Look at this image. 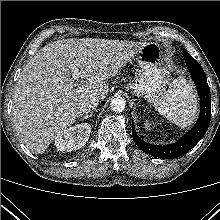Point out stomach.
I'll return each mask as SVG.
<instances>
[{
    "mask_svg": "<svg viewBox=\"0 0 220 220\" xmlns=\"http://www.w3.org/2000/svg\"><path fill=\"white\" fill-rule=\"evenodd\" d=\"M164 48L160 43L151 42L143 46L134 59L138 64V73L125 89L148 101L160 97L169 82V71L164 64Z\"/></svg>",
    "mask_w": 220,
    "mask_h": 220,
    "instance_id": "1",
    "label": "stomach"
}]
</instances>
